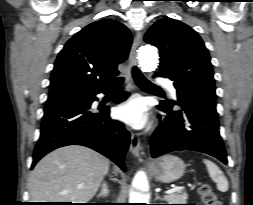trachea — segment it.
<instances>
[{"label": "trachea", "instance_id": "1", "mask_svg": "<svg viewBox=\"0 0 253 205\" xmlns=\"http://www.w3.org/2000/svg\"><path fill=\"white\" fill-rule=\"evenodd\" d=\"M132 75L136 84L139 85L140 87L153 90H160L158 86L152 84L149 80H147L136 67H133Z\"/></svg>", "mask_w": 253, "mask_h": 205}]
</instances>
